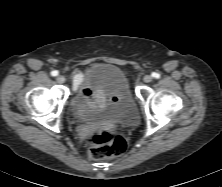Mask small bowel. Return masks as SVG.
<instances>
[{"instance_id": "1", "label": "small bowel", "mask_w": 222, "mask_h": 187, "mask_svg": "<svg viewBox=\"0 0 222 187\" xmlns=\"http://www.w3.org/2000/svg\"><path fill=\"white\" fill-rule=\"evenodd\" d=\"M73 82H74V90H78L82 87L83 83V75L81 72H74L73 75ZM83 92L87 99L95 98L98 103H101L105 100V94L101 90H92L88 87H83Z\"/></svg>"}]
</instances>
